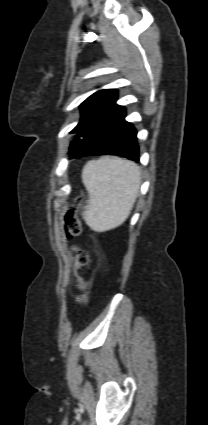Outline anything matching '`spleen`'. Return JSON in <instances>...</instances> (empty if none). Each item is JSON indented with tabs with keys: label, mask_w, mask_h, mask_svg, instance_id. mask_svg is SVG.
<instances>
[{
	"label": "spleen",
	"mask_w": 208,
	"mask_h": 425,
	"mask_svg": "<svg viewBox=\"0 0 208 425\" xmlns=\"http://www.w3.org/2000/svg\"><path fill=\"white\" fill-rule=\"evenodd\" d=\"M82 182L89 193L84 219L94 231L104 232L123 224L139 194L141 172L137 164L114 156L88 161Z\"/></svg>",
	"instance_id": "1"
}]
</instances>
